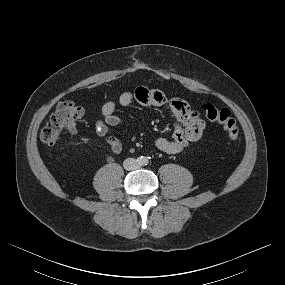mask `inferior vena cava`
I'll list each match as a JSON object with an SVG mask.
<instances>
[{
  "instance_id": "602c4592",
  "label": "inferior vena cava",
  "mask_w": 285,
  "mask_h": 285,
  "mask_svg": "<svg viewBox=\"0 0 285 285\" xmlns=\"http://www.w3.org/2000/svg\"><path fill=\"white\" fill-rule=\"evenodd\" d=\"M123 165L126 170H134L138 167L136 160L133 158H127Z\"/></svg>"
}]
</instances>
